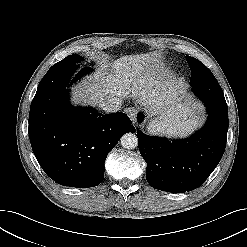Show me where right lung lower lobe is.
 Here are the masks:
<instances>
[{
    "mask_svg": "<svg viewBox=\"0 0 247 247\" xmlns=\"http://www.w3.org/2000/svg\"><path fill=\"white\" fill-rule=\"evenodd\" d=\"M77 69L48 71L40 81L30 107L29 138L51 179L88 188L103 181L105 159L121 136L136 130L125 113L102 115L70 104L69 83L92 71L85 67L74 74Z\"/></svg>",
    "mask_w": 247,
    "mask_h": 247,
    "instance_id": "1",
    "label": "right lung lower lobe"
}]
</instances>
